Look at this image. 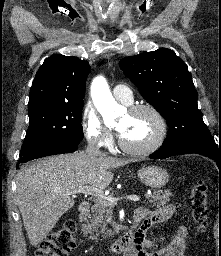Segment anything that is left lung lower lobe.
<instances>
[{"instance_id":"1","label":"left lung lower lobe","mask_w":221,"mask_h":256,"mask_svg":"<svg viewBox=\"0 0 221 256\" xmlns=\"http://www.w3.org/2000/svg\"><path fill=\"white\" fill-rule=\"evenodd\" d=\"M183 153H196L211 158L217 162V166L221 169V144H216L212 135H199L181 142L162 144L159 150L149 157L161 159Z\"/></svg>"}]
</instances>
